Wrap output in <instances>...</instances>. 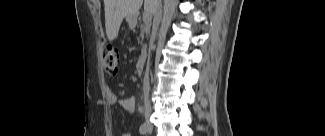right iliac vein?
<instances>
[{
    "label": "right iliac vein",
    "mask_w": 325,
    "mask_h": 136,
    "mask_svg": "<svg viewBox=\"0 0 325 136\" xmlns=\"http://www.w3.org/2000/svg\"><path fill=\"white\" fill-rule=\"evenodd\" d=\"M150 124V122L147 120V125H149Z\"/></svg>",
    "instance_id": "right-iliac-vein-1"
}]
</instances>
